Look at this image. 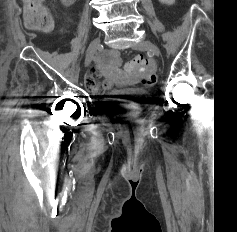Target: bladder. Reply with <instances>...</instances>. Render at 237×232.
<instances>
[{"label":"bladder","instance_id":"31cf9c89","mask_svg":"<svg viewBox=\"0 0 237 232\" xmlns=\"http://www.w3.org/2000/svg\"><path fill=\"white\" fill-rule=\"evenodd\" d=\"M130 94V91L127 90H114V97L99 101V107L108 115L132 116L135 114L137 104L132 100L123 98Z\"/></svg>","mask_w":237,"mask_h":232}]
</instances>
